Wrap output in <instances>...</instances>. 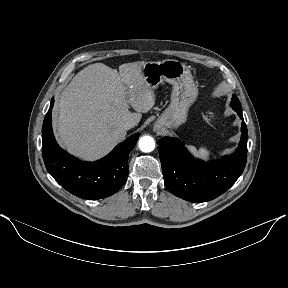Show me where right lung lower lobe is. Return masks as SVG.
<instances>
[{"mask_svg":"<svg viewBox=\"0 0 288 288\" xmlns=\"http://www.w3.org/2000/svg\"><path fill=\"white\" fill-rule=\"evenodd\" d=\"M53 104L52 98L42 127V155L49 174L65 190L84 199H101L116 193L127 179L128 156L140 134L129 137L101 160L79 161L55 141L51 125Z\"/></svg>","mask_w":288,"mask_h":288,"instance_id":"right-lung-lower-lobe-1","label":"right lung lower lobe"}]
</instances>
